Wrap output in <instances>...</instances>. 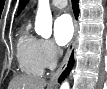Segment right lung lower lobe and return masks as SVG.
<instances>
[{
    "mask_svg": "<svg viewBox=\"0 0 107 89\" xmlns=\"http://www.w3.org/2000/svg\"><path fill=\"white\" fill-rule=\"evenodd\" d=\"M72 6H73L74 14L77 17L78 13H79L78 0H72ZM73 65H74V58H73V54H72L69 59L67 68L64 70V72L62 73V75L59 78V82H61L69 74Z\"/></svg>",
    "mask_w": 107,
    "mask_h": 89,
    "instance_id": "right-lung-lower-lobe-1",
    "label": "right lung lower lobe"
}]
</instances>
